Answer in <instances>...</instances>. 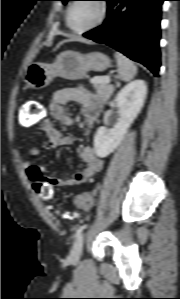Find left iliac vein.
Wrapping results in <instances>:
<instances>
[{
    "instance_id": "obj_1",
    "label": "left iliac vein",
    "mask_w": 180,
    "mask_h": 299,
    "mask_svg": "<svg viewBox=\"0 0 180 299\" xmlns=\"http://www.w3.org/2000/svg\"><path fill=\"white\" fill-rule=\"evenodd\" d=\"M84 244V235L81 234L78 236L77 240L74 242L73 247L70 252L69 259L72 263H77L82 255Z\"/></svg>"
}]
</instances>
